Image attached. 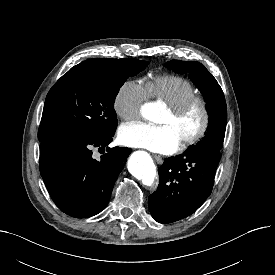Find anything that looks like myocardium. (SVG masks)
<instances>
[{
	"instance_id": "1",
	"label": "myocardium",
	"mask_w": 275,
	"mask_h": 275,
	"mask_svg": "<svg viewBox=\"0 0 275 275\" xmlns=\"http://www.w3.org/2000/svg\"><path fill=\"white\" fill-rule=\"evenodd\" d=\"M194 106L200 107L202 112V122L198 130L192 136L180 142L179 144L180 149H186L196 144L204 137L210 125V120H211L210 107L207 100L200 95H194V96L188 97L185 100L179 102L178 104L167 107V110L170 112V114L173 117H179Z\"/></svg>"
}]
</instances>
